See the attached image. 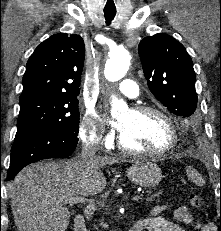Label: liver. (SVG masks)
Returning a JSON list of instances; mask_svg holds the SVG:
<instances>
[{
    "label": "liver",
    "mask_w": 221,
    "mask_h": 231,
    "mask_svg": "<svg viewBox=\"0 0 221 231\" xmlns=\"http://www.w3.org/2000/svg\"><path fill=\"white\" fill-rule=\"evenodd\" d=\"M124 159L95 157L90 163L79 159L38 162L25 167L9 184V197L18 231H65L70 212L63 200L96 195L106 186L101 171Z\"/></svg>",
    "instance_id": "6515ba94"
}]
</instances>
